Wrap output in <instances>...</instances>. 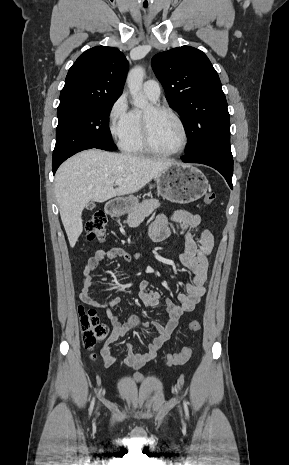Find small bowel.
<instances>
[{
	"instance_id": "small-bowel-1",
	"label": "small bowel",
	"mask_w": 289,
	"mask_h": 465,
	"mask_svg": "<svg viewBox=\"0 0 289 465\" xmlns=\"http://www.w3.org/2000/svg\"><path fill=\"white\" fill-rule=\"evenodd\" d=\"M176 223L185 233L186 250L180 257V262L193 273L191 282L185 285V291L178 294V304L170 299L165 300L167 319L164 323L159 321L142 322L136 315H130L126 320L112 312V309L121 302L120 297H115L109 302L102 303L94 298L91 285L93 275L98 265L107 259L123 258L126 262L137 261L142 258L140 253L127 252L120 247H111L107 250H98L89 258L84 269L82 290L80 298L87 304L102 309L111 323L112 329L101 348V356L106 367L116 363V354L111 346L120 337L134 329L153 328L157 336L148 344L145 352H136L132 344H126L127 357L123 362L128 368L139 370L148 361L154 359L162 345L169 339L170 334L178 325L180 317L184 313L191 312L206 293L209 283L208 257L213 249V236L202 225L198 214L184 210H176L172 213H161L150 227V236L155 242L166 241L172 234L170 224ZM138 295L142 303L147 307L159 304L161 295L149 288V282L142 280L138 285Z\"/></svg>"
}]
</instances>
